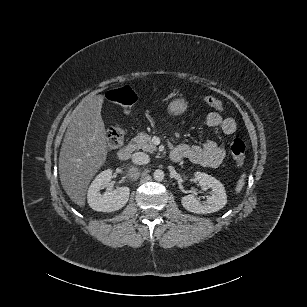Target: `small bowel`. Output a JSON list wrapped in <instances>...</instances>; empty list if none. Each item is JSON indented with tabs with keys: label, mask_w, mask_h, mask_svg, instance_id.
<instances>
[{
	"label": "small bowel",
	"mask_w": 307,
	"mask_h": 307,
	"mask_svg": "<svg viewBox=\"0 0 307 307\" xmlns=\"http://www.w3.org/2000/svg\"><path fill=\"white\" fill-rule=\"evenodd\" d=\"M206 124L212 129L220 128L230 135L236 131V121L231 117H222L217 112H210L206 117ZM226 156L225 150L216 141L209 139L202 146L182 144L171 152L173 161L187 159L202 167L216 168L221 165Z\"/></svg>",
	"instance_id": "obj_1"
}]
</instances>
